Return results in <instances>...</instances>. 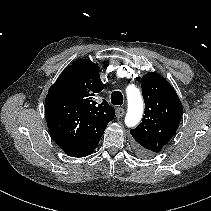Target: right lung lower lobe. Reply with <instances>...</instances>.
<instances>
[{
	"mask_svg": "<svg viewBox=\"0 0 211 211\" xmlns=\"http://www.w3.org/2000/svg\"><path fill=\"white\" fill-rule=\"evenodd\" d=\"M77 109L71 98L52 94L46 96L45 117L53 139L69 156L85 157L95 150L105 128L75 130ZM57 133L66 134L69 141L59 142Z\"/></svg>",
	"mask_w": 211,
	"mask_h": 211,
	"instance_id": "right-lung-lower-lobe-1",
	"label": "right lung lower lobe"
}]
</instances>
